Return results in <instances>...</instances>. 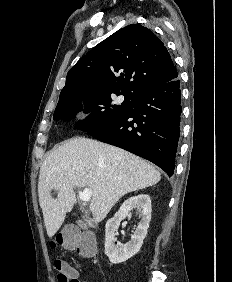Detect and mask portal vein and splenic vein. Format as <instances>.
Returning a JSON list of instances; mask_svg holds the SVG:
<instances>
[{"label": "portal vein and splenic vein", "mask_w": 232, "mask_h": 282, "mask_svg": "<svg viewBox=\"0 0 232 282\" xmlns=\"http://www.w3.org/2000/svg\"><path fill=\"white\" fill-rule=\"evenodd\" d=\"M78 194H79V198L83 202H89L91 200L92 191L89 188H85L83 191H79Z\"/></svg>", "instance_id": "portal-vein-and-splenic-vein-1"}]
</instances>
